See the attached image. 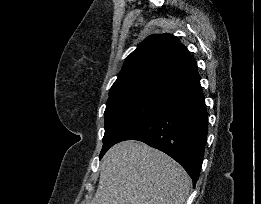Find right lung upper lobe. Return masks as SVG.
Listing matches in <instances>:
<instances>
[{"label":"right lung upper lobe","instance_id":"right-lung-upper-lobe-1","mask_svg":"<svg viewBox=\"0 0 261 204\" xmlns=\"http://www.w3.org/2000/svg\"><path fill=\"white\" fill-rule=\"evenodd\" d=\"M196 74L194 57L176 36L154 34L127 57L109 96L142 90L168 93Z\"/></svg>","mask_w":261,"mask_h":204}]
</instances>
